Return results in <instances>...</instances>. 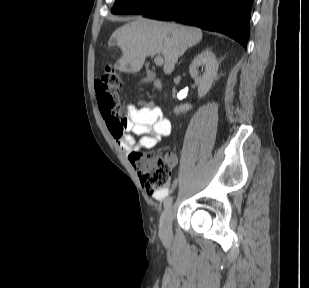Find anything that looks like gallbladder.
Wrapping results in <instances>:
<instances>
[{"mask_svg":"<svg viewBox=\"0 0 309 288\" xmlns=\"http://www.w3.org/2000/svg\"><path fill=\"white\" fill-rule=\"evenodd\" d=\"M155 78V74L152 71H147V77L142 82H152Z\"/></svg>","mask_w":309,"mask_h":288,"instance_id":"gallbladder-1","label":"gallbladder"}]
</instances>
